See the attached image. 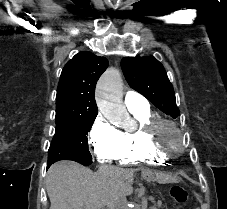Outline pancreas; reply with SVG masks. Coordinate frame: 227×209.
<instances>
[{
  "mask_svg": "<svg viewBox=\"0 0 227 209\" xmlns=\"http://www.w3.org/2000/svg\"><path fill=\"white\" fill-rule=\"evenodd\" d=\"M151 209H156V207L155 206H152Z\"/></svg>",
  "mask_w": 227,
  "mask_h": 209,
  "instance_id": "1",
  "label": "pancreas"
}]
</instances>
